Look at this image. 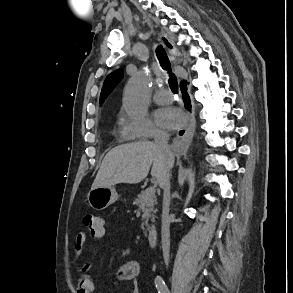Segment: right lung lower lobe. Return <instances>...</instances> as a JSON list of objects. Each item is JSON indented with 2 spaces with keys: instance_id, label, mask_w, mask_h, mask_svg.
<instances>
[{
  "instance_id": "98d812e1",
  "label": "right lung lower lobe",
  "mask_w": 293,
  "mask_h": 293,
  "mask_svg": "<svg viewBox=\"0 0 293 293\" xmlns=\"http://www.w3.org/2000/svg\"><path fill=\"white\" fill-rule=\"evenodd\" d=\"M181 91H182V94H183V100H184V103H185V106L188 110H191V103H190V98L187 94V86H186V82L185 83H182V86H181ZM184 131H181L180 132V135L183 134Z\"/></svg>"
}]
</instances>
